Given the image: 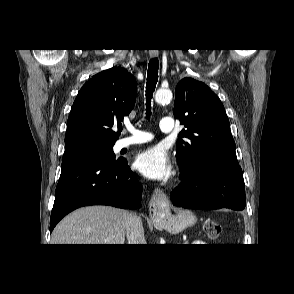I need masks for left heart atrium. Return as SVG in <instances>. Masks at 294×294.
I'll use <instances>...</instances> for the list:
<instances>
[{
    "instance_id": "obj_1",
    "label": "left heart atrium",
    "mask_w": 294,
    "mask_h": 294,
    "mask_svg": "<svg viewBox=\"0 0 294 294\" xmlns=\"http://www.w3.org/2000/svg\"><path fill=\"white\" fill-rule=\"evenodd\" d=\"M135 165L145 177L157 180L167 178L172 170L169 156L161 146H154L139 153Z\"/></svg>"
}]
</instances>
